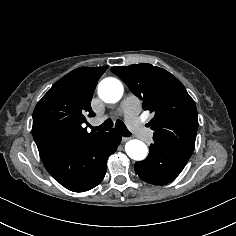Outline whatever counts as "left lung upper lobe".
I'll list each match as a JSON object with an SVG mask.
<instances>
[{"instance_id":"1","label":"left lung upper lobe","mask_w":236,"mask_h":236,"mask_svg":"<svg viewBox=\"0 0 236 236\" xmlns=\"http://www.w3.org/2000/svg\"><path fill=\"white\" fill-rule=\"evenodd\" d=\"M111 71L142 99L144 110L154 112L149 123L154 141L193 151L198 129L196 105L176 77L151 64L115 66Z\"/></svg>"}]
</instances>
